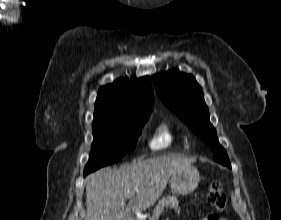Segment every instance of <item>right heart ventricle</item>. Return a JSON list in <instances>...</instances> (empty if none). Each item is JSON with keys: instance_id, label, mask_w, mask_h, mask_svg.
<instances>
[{"instance_id": "1", "label": "right heart ventricle", "mask_w": 281, "mask_h": 220, "mask_svg": "<svg viewBox=\"0 0 281 220\" xmlns=\"http://www.w3.org/2000/svg\"><path fill=\"white\" fill-rule=\"evenodd\" d=\"M177 142V136L167 122H161L149 140V147L154 151L172 148Z\"/></svg>"}]
</instances>
